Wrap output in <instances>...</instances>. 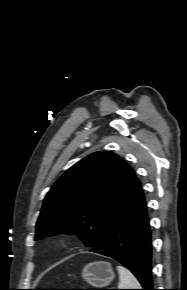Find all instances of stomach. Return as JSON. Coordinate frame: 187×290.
<instances>
[{
	"label": "stomach",
	"instance_id": "0dacf381",
	"mask_svg": "<svg viewBox=\"0 0 187 290\" xmlns=\"http://www.w3.org/2000/svg\"><path fill=\"white\" fill-rule=\"evenodd\" d=\"M114 276L111 264L104 261L89 263L82 271L83 279L94 287L109 285L113 281Z\"/></svg>",
	"mask_w": 187,
	"mask_h": 290
}]
</instances>
